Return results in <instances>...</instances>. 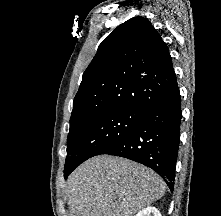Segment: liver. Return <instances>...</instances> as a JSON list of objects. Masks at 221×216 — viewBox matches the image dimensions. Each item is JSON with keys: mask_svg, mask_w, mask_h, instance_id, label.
<instances>
[{"mask_svg": "<svg viewBox=\"0 0 221 216\" xmlns=\"http://www.w3.org/2000/svg\"><path fill=\"white\" fill-rule=\"evenodd\" d=\"M165 191V182L153 170L107 155L81 164L66 188L70 216H133Z\"/></svg>", "mask_w": 221, "mask_h": 216, "instance_id": "1", "label": "liver"}]
</instances>
